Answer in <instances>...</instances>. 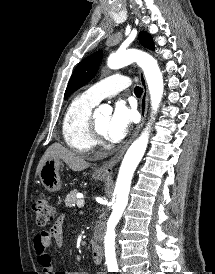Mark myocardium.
<instances>
[{"mask_svg": "<svg viewBox=\"0 0 215 274\" xmlns=\"http://www.w3.org/2000/svg\"><path fill=\"white\" fill-rule=\"evenodd\" d=\"M89 131L94 140H101L104 136V134L99 131L93 116L89 118Z\"/></svg>", "mask_w": 215, "mask_h": 274, "instance_id": "myocardium-1", "label": "myocardium"}]
</instances>
